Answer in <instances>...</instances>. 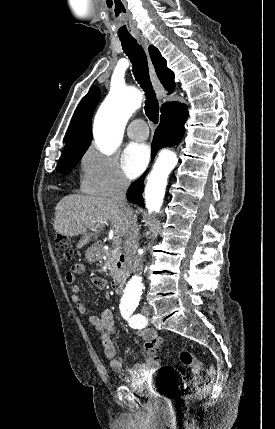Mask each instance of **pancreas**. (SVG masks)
<instances>
[{"label":"pancreas","instance_id":"1","mask_svg":"<svg viewBox=\"0 0 275 429\" xmlns=\"http://www.w3.org/2000/svg\"><path fill=\"white\" fill-rule=\"evenodd\" d=\"M120 251L110 249L106 255V259L104 261V266L107 270H109V274L114 279L119 277L122 274V270L117 267V263L119 260Z\"/></svg>","mask_w":275,"mask_h":429}]
</instances>
